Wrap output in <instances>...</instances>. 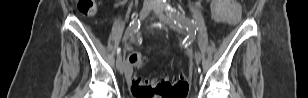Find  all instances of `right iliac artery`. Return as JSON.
I'll use <instances>...</instances> for the list:
<instances>
[{
    "mask_svg": "<svg viewBox=\"0 0 308 98\" xmlns=\"http://www.w3.org/2000/svg\"><path fill=\"white\" fill-rule=\"evenodd\" d=\"M139 28H140V22H139V21H138V22L133 21L132 23H130V25L128 26V28H127V30H126L124 36H123L122 41H123V42H126V40H127L129 37L133 36V34H134ZM120 52H121V47H119V48L117 49V55H118V57L120 56ZM118 57H117V58H118ZM116 65H117V68H118V67H119L118 59H117V61H116Z\"/></svg>",
    "mask_w": 308,
    "mask_h": 98,
    "instance_id": "1",
    "label": "right iliac artery"
}]
</instances>
